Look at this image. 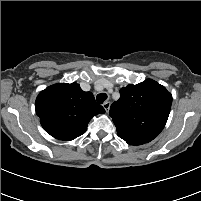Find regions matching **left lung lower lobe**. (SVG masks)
<instances>
[{"label":"left lung lower lobe","instance_id":"obj_1","mask_svg":"<svg viewBox=\"0 0 201 201\" xmlns=\"http://www.w3.org/2000/svg\"><path fill=\"white\" fill-rule=\"evenodd\" d=\"M128 144H130V145H140V144H137V143H134V142H128V141H126Z\"/></svg>","mask_w":201,"mask_h":201}]
</instances>
